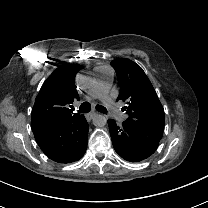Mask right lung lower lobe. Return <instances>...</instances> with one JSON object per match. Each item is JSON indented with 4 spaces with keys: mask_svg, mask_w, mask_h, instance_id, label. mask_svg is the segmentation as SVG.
Wrapping results in <instances>:
<instances>
[{
    "mask_svg": "<svg viewBox=\"0 0 208 208\" xmlns=\"http://www.w3.org/2000/svg\"><path fill=\"white\" fill-rule=\"evenodd\" d=\"M88 129L84 115L68 122L32 126L42 151L58 163H71L83 157L87 148Z\"/></svg>",
    "mask_w": 208,
    "mask_h": 208,
    "instance_id": "obj_1",
    "label": "right lung lower lobe"
}]
</instances>
